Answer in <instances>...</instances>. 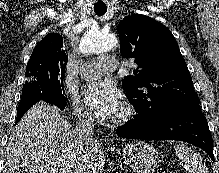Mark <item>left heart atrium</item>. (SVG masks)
<instances>
[{
    "mask_svg": "<svg viewBox=\"0 0 219 173\" xmlns=\"http://www.w3.org/2000/svg\"><path fill=\"white\" fill-rule=\"evenodd\" d=\"M86 103L101 118L114 117L121 107V93L111 81H98L86 86Z\"/></svg>",
    "mask_w": 219,
    "mask_h": 173,
    "instance_id": "left-heart-atrium-1",
    "label": "left heart atrium"
}]
</instances>
